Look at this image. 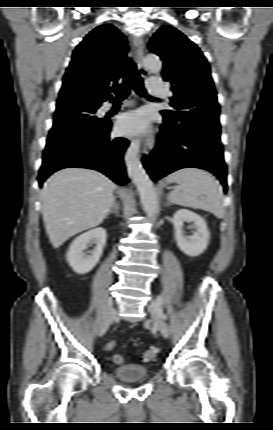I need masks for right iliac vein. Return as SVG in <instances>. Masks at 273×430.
<instances>
[{
    "mask_svg": "<svg viewBox=\"0 0 273 430\" xmlns=\"http://www.w3.org/2000/svg\"><path fill=\"white\" fill-rule=\"evenodd\" d=\"M115 315H116V311H115L114 307H111L107 311L104 312L101 323H100L98 330H97L98 336H101L106 332V330L109 328L111 323L114 321V319L116 317Z\"/></svg>",
    "mask_w": 273,
    "mask_h": 430,
    "instance_id": "63e3f726",
    "label": "right iliac vein"
}]
</instances>
